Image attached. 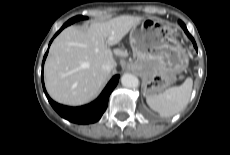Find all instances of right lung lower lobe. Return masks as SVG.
Here are the masks:
<instances>
[{
  "label": "right lung lower lobe",
  "mask_w": 230,
  "mask_h": 155,
  "mask_svg": "<svg viewBox=\"0 0 230 155\" xmlns=\"http://www.w3.org/2000/svg\"><path fill=\"white\" fill-rule=\"evenodd\" d=\"M65 27L66 26L63 25L62 28L55 34V36ZM52 41L53 39L50 41V44ZM47 54H48V51L46 52L44 59H43L41 79H42L43 90L47 96L49 103L54 108V110L61 117L69 120L70 122H74L78 124H89V123H94L98 121L107 108L109 96L118 83L119 75H115L110 80V82L107 84V86L105 87L101 95L94 102L88 105L81 106V107L64 106V105L54 102L47 94L45 86H44L43 66H44V61L46 59Z\"/></svg>",
  "instance_id": "obj_1"
}]
</instances>
